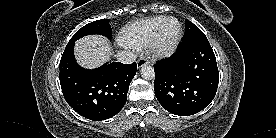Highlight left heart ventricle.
Segmentation results:
<instances>
[{"label": "left heart ventricle", "mask_w": 276, "mask_h": 138, "mask_svg": "<svg viewBox=\"0 0 276 138\" xmlns=\"http://www.w3.org/2000/svg\"><path fill=\"white\" fill-rule=\"evenodd\" d=\"M177 32H178L177 22L176 21L168 22L163 32V36H162L163 42L169 43L175 37Z\"/></svg>", "instance_id": "1"}]
</instances>
